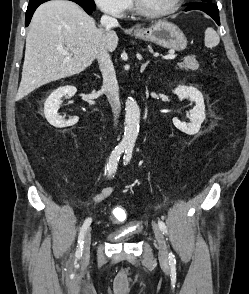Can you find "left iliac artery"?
<instances>
[{
  "label": "left iliac artery",
  "mask_w": 249,
  "mask_h": 294,
  "mask_svg": "<svg viewBox=\"0 0 249 294\" xmlns=\"http://www.w3.org/2000/svg\"><path fill=\"white\" fill-rule=\"evenodd\" d=\"M132 151H133V146L132 145L127 146L125 150V155H124V164H127L130 161L132 157ZM158 226L163 233L167 234V227L163 221H159ZM169 263L171 264L176 263L174 255L172 253H169Z\"/></svg>",
  "instance_id": "obj_1"
}]
</instances>
